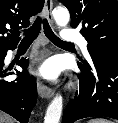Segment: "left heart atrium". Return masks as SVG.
Wrapping results in <instances>:
<instances>
[{"mask_svg": "<svg viewBox=\"0 0 118 123\" xmlns=\"http://www.w3.org/2000/svg\"><path fill=\"white\" fill-rule=\"evenodd\" d=\"M59 67L54 60H47L38 68V74L42 77L53 80L58 76Z\"/></svg>", "mask_w": 118, "mask_h": 123, "instance_id": "left-heart-atrium-1", "label": "left heart atrium"}]
</instances>
